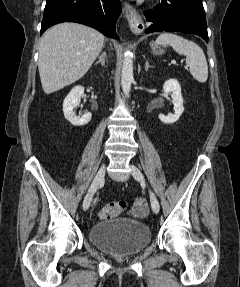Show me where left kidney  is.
Masks as SVG:
<instances>
[{"label": "left kidney", "instance_id": "1", "mask_svg": "<svg viewBox=\"0 0 240 287\" xmlns=\"http://www.w3.org/2000/svg\"><path fill=\"white\" fill-rule=\"evenodd\" d=\"M163 89L165 92L171 93L174 105V114H169L168 116L159 114V119L165 124H172L180 118L184 111L181 87L176 79H169L165 81Z\"/></svg>", "mask_w": 240, "mask_h": 287}]
</instances>
